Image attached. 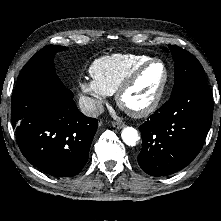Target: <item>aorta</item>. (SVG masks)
Wrapping results in <instances>:
<instances>
[{"mask_svg": "<svg viewBox=\"0 0 221 221\" xmlns=\"http://www.w3.org/2000/svg\"><path fill=\"white\" fill-rule=\"evenodd\" d=\"M123 142L128 146H135L139 137L138 132L133 127H125L121 132Z\"/></svg>", "mask_w": 221, "mask_h": 221, "instance_id": "762f6f07", "label": "aorta"}]
</instances>
